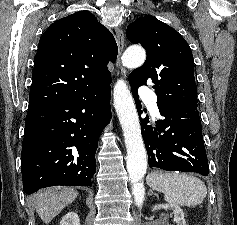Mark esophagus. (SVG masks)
<instances>
[{
    "mask_svg": "<svg viewBox=\"0 0 237 225\" xmlns=\"http://www.w3.org/2000/svg\"><path fill=\"white\" fill-rule=\"evenodd\" d=\"M115 33H116V42L118 45V57L116 65L120 69L121 77L126 78L127 70L121 65V56L124 50V32L121 28L118 27L116 28Z\"/></svg>",
    "mask_w": 237,
    "mask_h": 225,
    "instance_id": "obj_1",
    "label": "esophagus"
}]
</instances>
